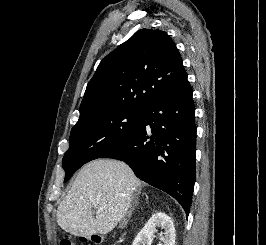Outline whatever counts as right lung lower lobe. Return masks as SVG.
Listing matches in <instances>:
<instances>
[{"instance_id": "obj_1", "label": "right lung lower lobe", "mask_w": 266, "mask_h": 245, "mask_svg": "<svg viewBox=\"0 0 266 245\" xmlns=\"http://www.w3.org/2000/svg\"><path fill=\"white\" fill-rule=\"evenodd\" d=\"M194 114L186 80L153 102L133 134L100 158L124 161L139 179L174 197L188 215L196 176Z\"/></svg>"}]
</instances>
